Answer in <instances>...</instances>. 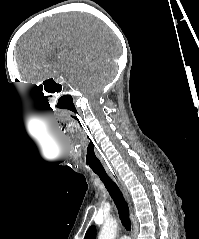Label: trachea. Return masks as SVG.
<instances>
[{
	"label": "trachea",
	"instance_id": "3493384b",
	"mask_svg": "<svg viewBox=\"0 0 199 239\" xmlns=\"http://www.w3.org/2000/svg\"><path fill=\"white\" fill-rule=\"evenodd\" d=\"M100 180L104 183L107 191L113 199L119 213L121 222L126 230L131 231V221L129 218V208L126 203L122 192L116 183L108 176L107 173H97Z\"/></svg>",
	"mask_w": 199,
	"mask_h": 239
}]
</instances>
